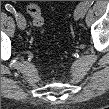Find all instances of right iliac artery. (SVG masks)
<instances>
[{"mask_svg": "<svg viewBox=\"0 0 109 109\" xmlns=\"http://www.w3.org/2000/svg\"><path fill=\"white\" fill-rule=\"evenodd\" d=\"M5 8H6L7 11L11 12L12 14H14L16 19L18 18V13L16 12V10L14 9V7L12 5L6 4Z\"/></svg>", "mask_w": 109, "mask_h": 109, "instance_id": "1", "label": "right iliac artery"}]
</instances>
